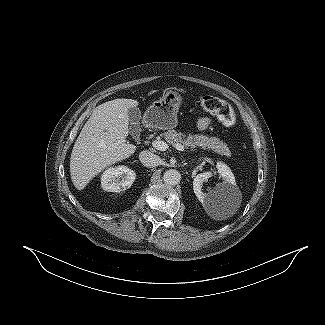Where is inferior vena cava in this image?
Instances as JSON below:
<instances>
[{
	"label": "inferior vena cava",
	"mask_w": 325,
	"mask_h": 325,
	"mask_svg": "<svg viewBox=\"0 0 325 325\" xmlns=\"http://www.w3.org/2000/svg\"><path fill=\"white\" fill-rule=\"evenodd\" d=\"M139 160L146 167H155L159 164L160 158L154 153L144 150L140 152Z\"/></svg>",
	"instance_id": "inferior-vena-cava-1"
}]
</instances>
